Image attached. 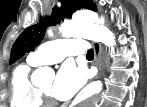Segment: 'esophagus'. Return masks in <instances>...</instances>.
I'll list each match as a JSON object with an SVG mask.
<instances>
[{
	"instance_id": "esophagus-1",
	"label": "esophagus",
	"mask_w": 147,
	"mask_h": 107,
	"mask_svg": "<svg viewBox=\"0 0 147 107\" xmlns=\"http://www.w3.org/2000/svg\"><path fill=\"white\" fill-rule=\"evenodd\" d=\"M93 49H94V54H95V63L98 68V74L97 77H99L104 69V58H103V52H102V47L98 42H93Z\"/></svg>"
}]
</instances>
